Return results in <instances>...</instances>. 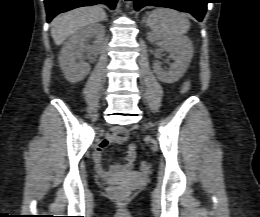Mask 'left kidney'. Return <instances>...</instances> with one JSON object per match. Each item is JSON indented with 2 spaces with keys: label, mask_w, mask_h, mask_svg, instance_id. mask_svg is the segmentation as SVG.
I'll use <instances>...</instances> for the list:
<instances>
[{
  "label": "left kidney",
  "mask_w": 260,
  "mask_h": 217,
  "mask_svg": "<svg viewBox=\"0 0 260 217\" xmlns=\"http://www.w3.org/2000/svg\"><path fill=\"white\" fill-rule=\"evenodd\" d=\"M149 39L152 42L159 41L161 46L172 53L173 64L170 69L164 70L160 62L153 64L154 72L157 78L163 83H175L186 72L193 55L191 43L186 38L175 36H159L150 34Z\"/></svg>",
  "instance_id": "1"
}]
</instances>
